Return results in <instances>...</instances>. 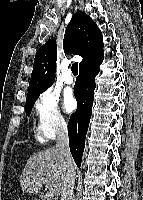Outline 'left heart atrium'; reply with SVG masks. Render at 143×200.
I'll return each instance as SVG.
<instances>
[{"label":"left heart atrium","mask_w":143,"mask_h":200,"mask_svg":"<svg viewBox=\"0 0 143 200\" xmlns=\"http://www.w3.org/2000/svg\"><path fill=\"white\" fill-rule=\"evenodd\" d=\"M63 105H64V109L68 113L72 112L76 108V100L71 91H67L64 94Z\"/></svg>","instance_id":"39dd6f15"}]
</instances>
